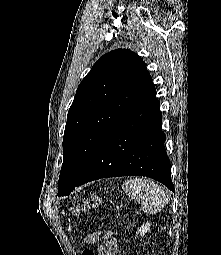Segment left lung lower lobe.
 Masks as SVG:
<instances>
[{"instance_id":"0a47b994","label":"left lung lower lobe","mask_w":221,"mask_h":255,"mask_svg":"<svg viewBox=\"0 0 221 255\" xmlns=\"http://www.w3.org/2000/svg\"><path fill=\"white\" fill-rule=\"evenodd\" d=\"M159 107L154 88L110 129L75 187L100 178L139 175L175 192Z\"/></svg>"}]
</instances>
